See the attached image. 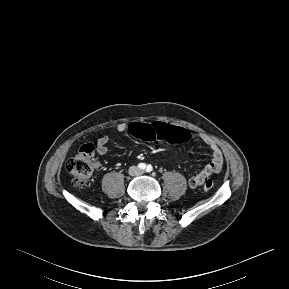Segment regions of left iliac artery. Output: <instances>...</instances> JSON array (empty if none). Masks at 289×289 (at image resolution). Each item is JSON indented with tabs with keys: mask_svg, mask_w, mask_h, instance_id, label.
<instances>
[{
	"mask_svg": "<svg viewBox=\"0 0 289 289\" xmlns=\"http://www.w3.org/2000/svg\"><path fill=\"white\" fill-rule=\"evenodd\" d=\"M153 170V167L151 166V165H148L147 167H146V171L147 172H151Z\"/></svg>",
	"mask_w": 289,
	"mask_h": 289,
	"instance_id": "44dca946",
	"label": "left iliac artery"
}]
</instances>
